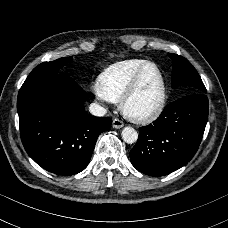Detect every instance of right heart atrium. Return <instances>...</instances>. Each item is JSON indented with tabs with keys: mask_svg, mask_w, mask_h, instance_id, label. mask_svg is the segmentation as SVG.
<instances>
[{
	"mask_svg": "<svg viewBox=\"0 0 228 228\" xmlns=\"http://www.w3.org/2000/svg\"><path fill=\"white\" fill-rule=\"evenodd\" d=\"M96 95H97V98H98V99H104V98L98 93V91H97Z\"/></svg>",
	"mask_w": 228,
	"mask_h": 228,
	"instance_id": "right-heart-atrium-1",
	"label": "right heart atrium"
}]
</instances>
